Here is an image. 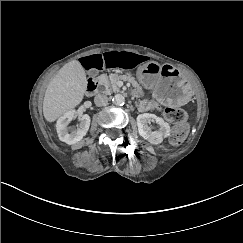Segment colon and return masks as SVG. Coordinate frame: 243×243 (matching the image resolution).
Instances as JSON below:
<instances>
[{"label":"colon","mask_w":243,"mask_h":243,"mask_svg":"<svg viewBox=\"0 0 243 243\" xmlns=\"http://www.w3.org/2000/svg\"><path fill=\"white\" fill-rule=\"evenodd\" d=\"M166 119L174 124L170 135V142L174 145L184 141L188 133L187 115L184 110L175 107L165 109Z\"/></svg>","instance_id":"5ec220e1"}]
</instances>
